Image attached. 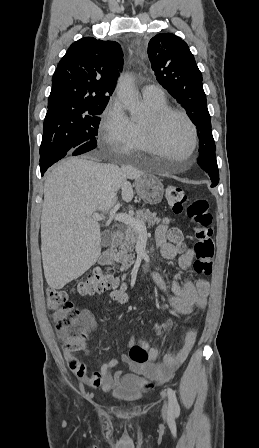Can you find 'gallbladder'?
<instances>
[{"label": "gallbladder", "instance_id": "1", "mask_svg": "<svg viewBox=\"0 0 259 448\" xmlns=\"http://www.w3.org/2000/svg\"><path fill=\"white\" fill-rule=\"evenodd\" d=\"M142 170H145V164H141ZM113 242V234L111 230H104V232H101V242L100 246H103V248H107V246H111Z\"/></svg>", "mask_w": 259, "mask_h": 448}]
</instances>
